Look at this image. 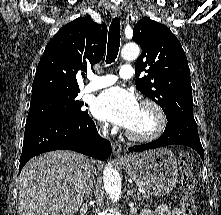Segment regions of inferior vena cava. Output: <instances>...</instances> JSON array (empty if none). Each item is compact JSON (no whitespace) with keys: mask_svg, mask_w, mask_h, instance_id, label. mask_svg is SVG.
<instances>
[{"mask_svg":"<svg viewBox=\"0 0 221 215\" xmlns=\"http://www.w3.org/2000/svg\"><path fill=\"white\" fill-rule=\"evenodd\" d=\"M107 130H106V128H104L103 130H102V136L103 137H107ZM89 185H93V178L92 177H90V179H89Z\"/></svg>","mask_w":221,"mask_h":215,"instance_id":"obj_1","label":"inferior vena cava"}]
</instances>
